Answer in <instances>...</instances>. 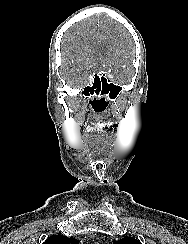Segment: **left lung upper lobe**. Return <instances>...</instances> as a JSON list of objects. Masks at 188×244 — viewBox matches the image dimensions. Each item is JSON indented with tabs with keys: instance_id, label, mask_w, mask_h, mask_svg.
I'll return each instance as SVG.
<instances>
[{
	"instance_id": "5c2ea615",
	"label": "left lung upper lobe",
	"mask_w": 188,
	"mask_h": 244,
	"mask_svg": "<svg viewBox=\"0 0 188 244\" xmlns=\"http://www.w3.org/2000/svg\"><path fill=\"white\" fill-rule=\"evenodd\" d=\"M114 244H141V242L133 237H125Z\"/></svg>"
}]
</instances>
